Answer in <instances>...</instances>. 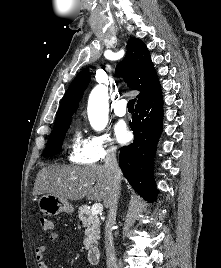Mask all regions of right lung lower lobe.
<instances>
[{"instance_id":"1","label":"right lung lower lobe","mask_w":221,"mask_h":268,"mask_svg":"<svg viewBox=\"0 0 221 268\" xmlns=\"http://www.w3.org/2000/svg\"><path fill=\"white\" fill-rule=\"evenodd\" d=\"M161 91L137 103L130 122L134 141L120 150V168L131 186L146 200H156L158 190L153 179L155 149L162 132Z\"/></svg>"}]
</instances>
